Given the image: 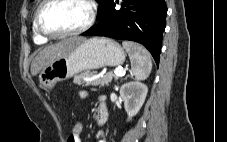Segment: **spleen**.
<instances>
[{
	"label": "spleen",
	"instance_id": "spleen-1",
	"mask_svg": "<svg viewBox=\"0 0 227 142\" xmlns=\"http://www.w3.org/2000/svg\"><path fill=\"white\" fill-rule=\"evenodd\" d=\"M122 45L129 55L134 78L136 80L147 79L152 70L150 53L142 45L135 42L123 41Z\"/></svg>",
	"mask_w": 227,
	"mask_h": 142
}]
</instances>
